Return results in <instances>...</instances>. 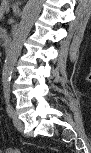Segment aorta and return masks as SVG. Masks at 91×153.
I'll return each instance as SVG.
<instances>
[{"label":"aorta","mask_w":91,"mask_h":153,"mask_svg":"<svg viewBox=\"0 0 91 153\" xmlns=\"http://www.w3.org/2000/svg\"><path fill=\"white\" fill-rule=\"evenodd\" d=\"M43 6V0H29L23 12L22 20L18 30L13 38L10 50L6 56L5 63L2 70V83L4 86L10 84L15 63L20 55L23 43L34 23L38 17Z\"/></svg>","instance_id":"762f6f07"}]
</instances>
